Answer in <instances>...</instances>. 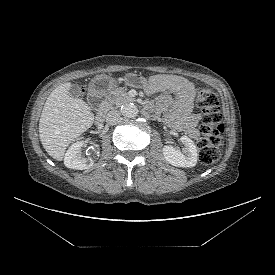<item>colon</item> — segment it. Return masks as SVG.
Wrapping results in <instances>:
<instances>
[{"label":"colon","mask_w":275,"mask_h":275,"mask_svg":"<svg viewBox=\"0 0 275 275\" xmlns=\"http://www.w3.org/2000/svg\"><path fill=\"white\" fill-rule=\"evenodd\" d=\"M195 105L201 111V140L198 142L199 159L211 164L220 157L224 127L217 96L208 88L201 87L195 96Z\"/></svg>","instance_id":"5ec220e1"}]
</instances>
